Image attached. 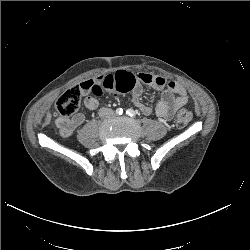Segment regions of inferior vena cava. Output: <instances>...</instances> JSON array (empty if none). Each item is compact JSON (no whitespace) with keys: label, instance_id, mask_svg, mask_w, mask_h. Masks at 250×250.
<instances>
[{"label":"inferior vena cava","instance_id":"602c4592","mask_svg":"<svg viewBox=\"0 0 250 250\" xmlns=\"http://www.w3.org/2000/svg\"><path fill=\"white\" fill-rule=\"evenodd\" d=\"M106 112H108V114L105 115ZM99 115L102 117H109L113 115V111L111 109L101 108L99 111Z\"/></svg>","mask_w":250,"mask_h":250}]
</instances>
